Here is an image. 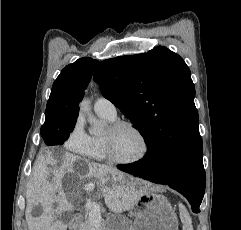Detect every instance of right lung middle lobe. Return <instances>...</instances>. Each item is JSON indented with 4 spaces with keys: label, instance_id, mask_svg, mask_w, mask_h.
<instances>
[{
    "label": "right lung middle lobe",
    "instance_id": "1",
    "mask_svg": "<svg viewBox=\"0 0 241 230\" xmlns=\"http://www.w3.org/2000/svg\"><path fill=\"white\" fill-rule=\"evenodd\" d=\"M77 120L46 121L41 127V136L49 145H62L73 131Z\"/></svg>",
    "mask_w": 241,
    "mask_h": 230
}]
</instances>
